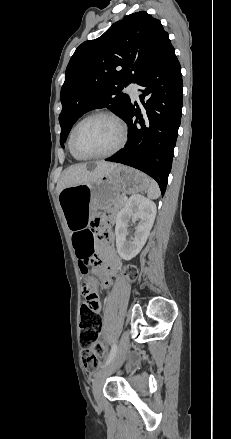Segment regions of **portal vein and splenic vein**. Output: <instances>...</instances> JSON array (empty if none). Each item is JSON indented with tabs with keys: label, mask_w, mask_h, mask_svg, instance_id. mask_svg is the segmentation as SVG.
Returning a JSON list of instances; mask_svg holds the SVG:
<instances>
[{
	"label": "portal vein and splenic vein",
	"mask_w": 231,
	"mask_h": 439,
	"mask_svg": "<svg viewBox=\"0 0 231 439\" xmlns=\"http://www.w3.org/2000/svg\"><path fill=\"white\" fill-rule=\"evenodd\" d=\"M123 199H124V200H127V197H126V196H123Z\"/></svg>",
	"instance_id": "portal-vein-and-splenic-vein-1"
}]
</instances>
